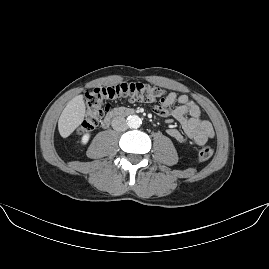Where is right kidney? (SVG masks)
<instances>
[{
  "label": "right kidney",
  "instance_id": "right-kidney-1",
  "mask_svg": "<svg viewBox=\"0 0 269 269\" xmlns=\"http://www.w3.org/2000/svg\"><path fill=\"white\" fill-rule=\"evenodd\" d=\"M89 138H90V134L87 133V134L83 135V137L81 139V143L82 144H87L88 141H89Z\"/></svg>",
  "mask_w": 269,
  "mask_h": 269
}]
</instances>
